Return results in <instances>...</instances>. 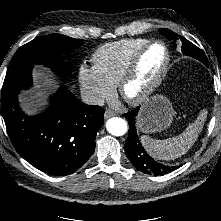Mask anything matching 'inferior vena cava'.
<instances>
[{
	"label": "inferior vena cava",
	"mask_w": 221,
	"mask_h": 221,
	"mask_svg": "<svg viewBox=\"0 0 221 221\" xmlns=\"http://www.w3.org/2000/svg\"><path fill=\"white\" fill-rule=\"evenodd\" d=\"M81 98L85 104L88 105H103L104 98L98 93L91 90L81 91Z\"/></svg>",
	"instance_id": "inferior-vena-cava-1"
}]
</instances>
